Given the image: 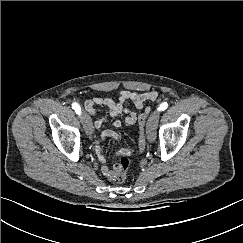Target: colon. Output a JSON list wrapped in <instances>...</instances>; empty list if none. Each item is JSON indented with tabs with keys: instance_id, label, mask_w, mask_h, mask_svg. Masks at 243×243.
Returning a JSON list of instances; mask_svg holds the SVG:
<instances>
[{
	"instance_id": "1",
	"label": "colon",
	"mask_w": 243,
	"mask_h": 243,
	"mask_svg": "<svg viewBox=\"0 0 243 243\" xmlns=\"http://www.w3.org/2000/svg\"><path fill=\"white\" fill-rule=\"evenodd\" d=\"M147 118H148V114H146V113H141L138 116L140 135H139L137 151H142L146 144L144 131H145V125H146ZM129 166H130L129 159L125 156L121 157L119 162L114 166L115 171H116L114 181L116 183H123L126 180V172L129 169Z\"/></svg>"
}]
</instances>
